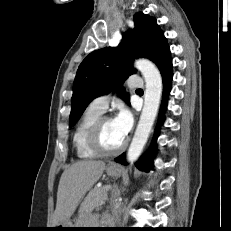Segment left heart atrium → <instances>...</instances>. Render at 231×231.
Listing matches in <instances>:
<instances>
[{"instance_id": "obj_1", "label": "left heart atrium", "mask_w": 231, "mask_h": 231, "mask_svg": "<svg viewBox=\"0 0 231 231\" xmlns=\"http://www.w3.org/2000/svg\"><path fill=\"white\" fill-rule=\"evenodd\" d=\"M114 125L123 138H126L133 126L132 114L125 108H121L113 119Z\"/></svg>"}]
</instances>
